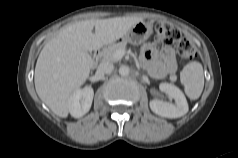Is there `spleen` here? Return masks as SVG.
<instances>
[{
    "mask_svg": "<svg viewBox=\"0 0 238 158\" xmlns=\"http://www.w3.org/2000/svg\"><path fill=\"white\" fill-rule=\"evenodd\" d=\"M180 79L186 95L192 100L198 99L204 88L202 65L196 61L188 63L181 71Z\"/></svg>",
    "mask_w": 238,
    "mask_h": 158,
    "instance_id": "obj_1",
    "label": "spleen"
}]
</instances>
